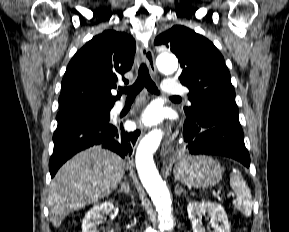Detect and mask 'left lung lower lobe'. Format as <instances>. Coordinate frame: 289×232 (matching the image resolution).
I'll use <instances>...</instances> for the list:
<instances>
[{"instance_id":"0a47b994","label":"left lung lower lobe","mask_w":289,"mask_h":232,"mask_svg":"<svg viewBox=\"0 0 289 232\" xmlns=\"http://www.w3.org/2000/svg\"><path fill=\"white\" fill-rule=\"evenodd\" d=\"M185 150L194 155H221L250 166L249 153L244 144L242 127L217 113H205L184 123Z\"/></svg>"}]
</instances>
